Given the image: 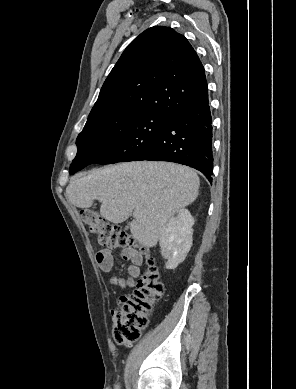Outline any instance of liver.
Masks as SVG:
<instances>
[{
	"label": "liver",
	"instance_id": "liver-1",
	"mask_svg": "<svg viewBox=\"0 0 296 389\" xmlns=\"http://www.w3.org/2000/svg\"><path fill=\"white\" fill-rule=\"evenodd\" d=\"M199 177L189 167L170 162H129L74 177L66 198L79 208L101 202V216L119 224L132 214V236L145 247L156 246L170 217L198 197Z\"/></svg>",
	"mask_w": 296,
	"mask_h": 389
}]
</instances>
